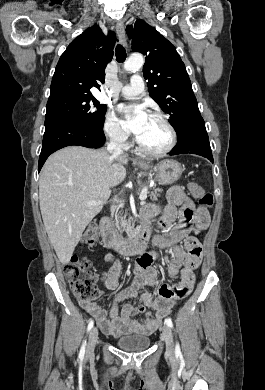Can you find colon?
Here are the masks:
<instances>
[{
	"label": "colon",
	"mask_w": 265,
	"mask_h": 390,
	"mask_svg": "<svg viewBox=\"0 0 265 390\" xmlns=\"http://www.w3.org/2000/svg\"><path fill=\"white\" fill-rule=\"evenodd\" d=\"M188 187L190 193L198 198L203 208H211L213 206V195L206 193L198 183L192 182ZM97 237V224H89L84 233L83 243L93 246L97 242ZM63 273L68 281L70 290L79 302H93L99 297L100 291L97 287L98 275L89 259L73 256L64 264Z\"/></svg>",
	"instance_id": "colon-1"
}]
</instances>
